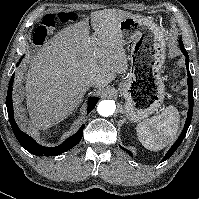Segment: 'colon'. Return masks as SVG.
I'll return each mask as SVG.
<instances>
[{
    "mask_svg": "<svg viewBox=\"0 0 199 199\" xmlns=\"http://www.w3.org/2000/svg\"><path fill=\"white\" fill-rule=\"evenodd\" d=\"M73 19V14L71 12H60V13H49L44 16L41 24L36 30L35 39H41L46 37L50 29L55 28L60 22H70ZM180 69L178 67L172 68V73L178 75ZM174 90L177 87L174 86Z\"/></svg>",
    "mask_w": 199,
    "mask_h": 199,
    "instance_id": "colon-1",
    "label": "colon"
}]
</instances>
